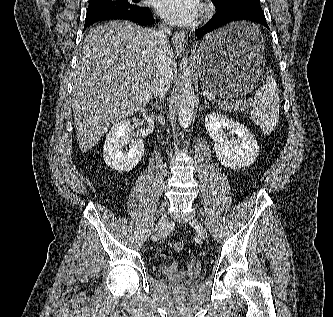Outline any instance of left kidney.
Segmentation results:
<instances>
[{
	"label": "left kidney",
	"instance_id": "1",
	"mask_svg": "<svg viewBox=\"0 0 333 317\" xmlns=\"http://www.w3.org/2000/svg\"><path fill=\"white\" fill-rule=\"evenodd\" d=\"M205 127L215 142V153L221 164L229 169H240L252 165L259 147L250 131L227 115L210 113L205 117ZM225 130L237 136L233 141L226 138Z\"/></svg>",
	"mask_w": 333,
	"mask_h": 317
}]
</instances>
